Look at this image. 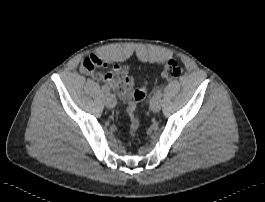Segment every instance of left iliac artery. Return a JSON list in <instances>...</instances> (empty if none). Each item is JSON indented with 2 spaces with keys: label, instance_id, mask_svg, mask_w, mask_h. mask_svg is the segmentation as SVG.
Instances as JSON below:
<instances>
[{
  "label": "left iliac artery",
  "instance_id": "44dca946",
  "mask_svg": "<svg viewBox=\"0 0 265 202\" xmlns=\"http://www.w3.org/2000/svg\"><path fill=\"white\" fill-rule=\"evenodd\" d=\"M155 96H157V97H161L162 96V89H158L157 91H156V93H155ZM154 97V96H153ZM152 97V98H153ZM152 98H151V100H152ZM151 102V101H150Z\"/></svg>",
  "mask_w": 265,
  "mask_h": 202
}]
</instances>
